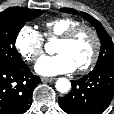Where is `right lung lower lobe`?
I'll return each instance as SVG.
<instances>
[{
	"mask_svg": "<svg viewBox=\"0 0 114 114\" xmlns=\"http://www.w3.org/2000/svg\"><path fill=\"white\" fill-rule=\"evenodd\" d=\"M40 78L23 63L0 67V114H23L31 105L32 91Z\"/></svg>",
	"mask_w": 114,
	"mask_h": 114,
	"instance_id": "right-lung-lower-lobe-1",
	"label": "right lung lower lobe"
}]
</instances>
